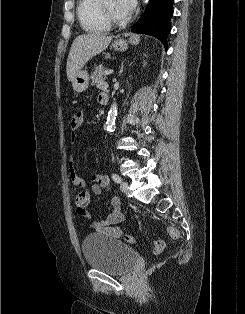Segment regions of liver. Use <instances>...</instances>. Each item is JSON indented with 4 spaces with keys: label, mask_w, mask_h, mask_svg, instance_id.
<instances>
[{
    "label": "liver",
    "mask_w": 245,
    "mask_h": 314,
    "mask_svg": "<svg viewBox=\"0 0 245 314\" xmlns=\"http://www.w3.org/2000/svg\"><path fill=\"white\" fill-rule=\"evenodd\" d=\"M112 40V36L102 33H88L77 36L70 48L67 59V78L72 81L76 74L94 56L104 51Z\"/></svg>",
    "instance_id": "liver-1"
}]
</instances>
